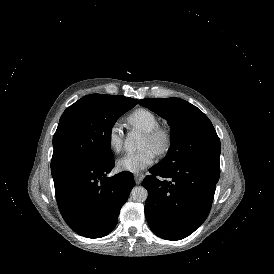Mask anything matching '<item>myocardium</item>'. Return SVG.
Returning <instances> with one entry per match:
<instances>
[{
  "instance_id": "obj_1",
  "label": "myocardium",
  "mask_w": 274,
  "mask_h": 274,
  "mask_svg": "<svg viewBox=\"0 0 274 274\" xmlns=\"http://www.w3.org/2000/svg\"><path fill=\"white\" fill-rule=\"evenodd\" d=\"M145 137L151 142L157 155L166 154L171 148L172 137L165 129L157 128L145 133Z\"/></svg>"
}]
</instances>
